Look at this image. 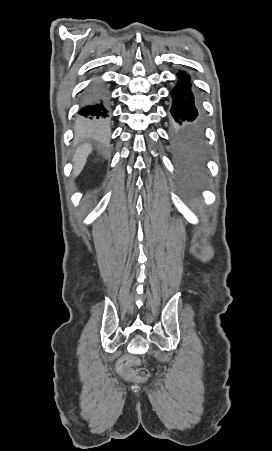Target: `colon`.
I'll use <instances>...</instances> for the list:
<instances>
[{
	"label": "colon",
	"instance_id": "obj_1",
	"mask_svg": "<svg viewBox=\"0 0 272 451\" xmlns=\"http://www.w3.org/2000/svg\"><path fill=\"white\" fill-rule=\"evenodd\" d=\"M116 365H117V373L118 374H130L131 366H132V359L131 358H117ZM146 375H147V371L143 365H140L137 368V371L134 373V377L136 379H143L146 377Z\"/></svg>",
	"mask_w": 272,
	"mask_h": 451
}]
</instances>
